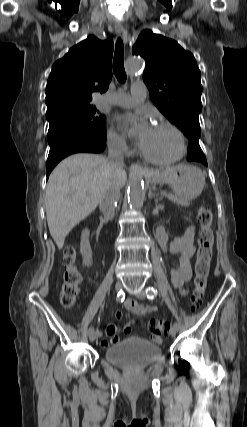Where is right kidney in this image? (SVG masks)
<instances>
[{"label":"right kidney","mask_w":247,"mask_h":427,"mask_svg":"<svg viewBox=\"0 0 247 427\" xmlns=\"http://www.w3.org/2000/svg\"><path fill=\"white\" fill-rule=\"evenodd\" d=\"M90 232L84 229L81 234L80 253L83 257V265L89 267L92 265V251L89 243Z\"/></svg>","instance_id":"obj_1"}]
</instances>
